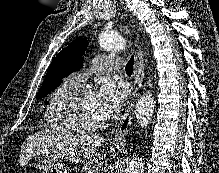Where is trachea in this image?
Masks as SVG:
<instances>
[{
	"label": "trachea",
	"instance_id": "3493384b",
	"mask_svg": "<svg viewBox=\"0 0 219 173\" xmlns=\"http://www.w3.org/2000/svg\"><path fill=\"white\" fill-rule=\"evenodd\" d=\"M133 66H134V56L132 55L125 68L127 74L133 73Z\"/></svg>",
	"mask_w": 219,
	"mask_h": 173
}]
</instances>
